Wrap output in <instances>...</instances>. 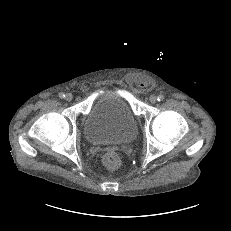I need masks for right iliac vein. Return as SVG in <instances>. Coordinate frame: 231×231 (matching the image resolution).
Returning a JSON list of instances; mask_svg holds the SVG:
<instances>
[{"instance_id":"right-iliac-vein-1","label":"right iliac vein","mask_w":231,"mask_h":231,"mask_svg":"<svg viewBox=\"0 0 231 231\" xmlns=\"http://www.w3.org/2000/svg\"><path fill=\"white\" fill-rule=\"evenodd\" d=\"M65 99L67 101H71L73 99V95L71 93H67L66 96H65Z\"/></svg>"}]
</instances>
